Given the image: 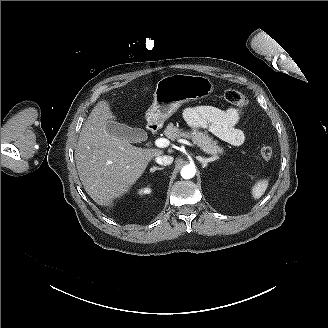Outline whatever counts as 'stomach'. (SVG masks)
Segmentation results:
<instances>
[{
    "mask_svg": "<svg viewBox=\"0 0 328 328\" xmlns=\"http://www.w3.org/2000/svg\"><path fill=\"white\" fill-rule=\"evenodd\" d=\"M213 90V83L205 76L173 74L163 77L157 82L154 101L145 113L147 128L157 131L183 103L207 97Z\"/></svg>",
    "mask_w": 328,
    "mask_h": 328,
    "instance_id": "0dacf381",
    "label": "stomach"
}]
</instances>
